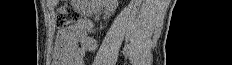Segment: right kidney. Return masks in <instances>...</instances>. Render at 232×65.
<instances>
[{"instance_id":"right-kidney-1","label":"right kidney","mask_w":232,"mask_h":65,"mask_svg":"<svg viewBox=\"0 0 232 65\" xmlns=\"http://www.w3.org/2000/svg\"><path fill=\"white\" fill-rule=\"evenodd\" d=\"M117 5V0H108L107 7L110 12H114Z\"/></svg>"}]
</instances>
